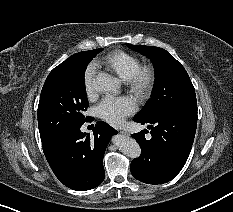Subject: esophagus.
Instances as JSON below:
<instances>
[{
    "label": "esophagus",
    "mask_w": 233,
    "mask_h": 212,
    "mask_svg": "<svg viewBox=\"0 0 233 212\" xmlns=\"http://www.w3.org/2000/svg\"><path fill=\"white\" fill-rule=\"evenodd\" d=\"M119 132H120L122 135H125V136H128V135H129L128 132L125 131V130H120Z\"/></svg>",
    "instance_id": "34e87169"
}]
</instances>
